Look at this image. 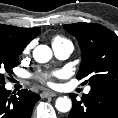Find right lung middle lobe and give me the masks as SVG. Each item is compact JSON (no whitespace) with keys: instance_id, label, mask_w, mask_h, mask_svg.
<instances>
[{"instance_id":"1","label":"right lung middle lobe","mask_w":118,"mask_h":118,"mask_svg":"<svg viewBox=\"0 0 118 118\" xmlns=\"http://www.w3.org/2000/svg\"><path fill=\"white\" fill-rule=\"evenodd\" d=\"M24 47L13 41L0 38V86L5 85V73H12V69L19 63V55Z\"/></svg>"}]
</instances>
